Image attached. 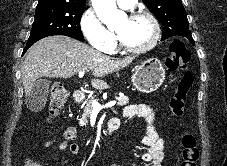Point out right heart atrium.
I'll use <instances>...</instances> for the list:
<instances>
[{
	"mask_svg": "<svg viewBox=\"0 0 227 166\" xmlns=\"http://www.w3.org/2000/svg\"><path fill=\"white\" fill-rule=\"evenodd\" d=\"M79 27L82 35L93 48L101 51H109L113 48L114 37L112 33L104 26L93 10L86 9L83 12Z\"/></svg>",
	"mask_w": 227,
	"mask_h": 166,
	"instance_id": "right-heart-atrium-1",
	"label": "right heart atrium"
}]
</instances>
